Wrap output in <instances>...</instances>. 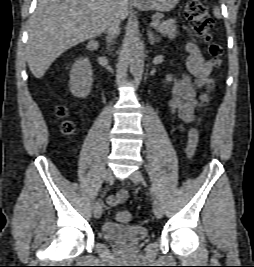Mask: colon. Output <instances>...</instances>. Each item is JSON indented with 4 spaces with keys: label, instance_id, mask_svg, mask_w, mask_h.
<instances>
[{
    "label": "colon",
    "instance_id": "1",
    "mask_svg": "<svg viewBox=\"0 0 254 267\" xmlns=\"http://www.w3.org/2000/svg\"><path fill=\"white\" fill-rule=\"evenodd\" d=\"M185 12L195 34L209 43V53L213 58L215 67H219L223 48L220 44L212 41L213 20L205 4L201 0H189L186 4ZM212 86L213 80L210 79L207 84L208 91L212 89ZM56 115L64 119L61 126L63 133L66 135L72 134L75 130V126L73 122L66 120L68 109L64 105H59L56 108ZM198 140L199 131L196 126H193L189 129L187 136L186 154L188 158L194 156ZM116 218L120 223L127 224L131 221V214L126 210H122L117 213Z\"/></svg>",
    "mask_w": 254,
    "mask_h": 267
}]
</instances>
